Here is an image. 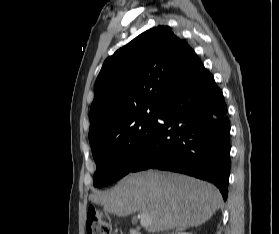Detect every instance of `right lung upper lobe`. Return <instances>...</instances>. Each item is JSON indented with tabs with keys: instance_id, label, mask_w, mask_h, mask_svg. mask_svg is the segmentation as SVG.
Returning a JSON list of instances; mask_svg holds the SVG:
<instances>
[{
	"instance_id": "cb5924a9",
	"label": "right lung upper lobe",
	"mask_w": 279,
	"mask_h": 234,
	"mask_svg": "<svg viewBox=\"0 0 279 234\" xmlns=\"http://www.w3.org/2000/svg\"><path fill=\"white\" fill-rule=\"evenodd\" d=\"M188 43L164 25L153 27L108 57L90 109V144L126 117L160 108L201 65Z\"/></svg>"
}]
</instances>
